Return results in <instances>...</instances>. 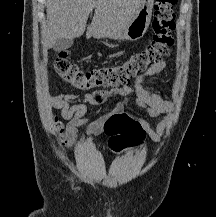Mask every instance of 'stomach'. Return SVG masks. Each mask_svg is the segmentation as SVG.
I'll return each instance as SVG.
<instances>
[{"label":"stomach","instance_id":"0dacf381","mask_svg":"<svg viewBox=\"0 0 216 217\" xmlns=\"http://www.w3.org/2000/svg\"><path fill=\"white\" fill-rule=\"evenodd\" d=\"M153 4L154 0H142L135 14L113 38L130 41L141 39L150 24Z\"/></svg>","mask_w":216,"mask_h":217}]
</instances>
